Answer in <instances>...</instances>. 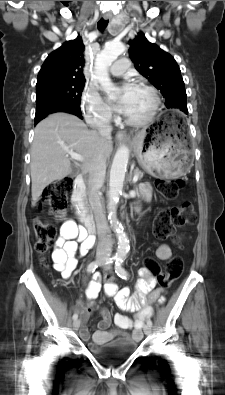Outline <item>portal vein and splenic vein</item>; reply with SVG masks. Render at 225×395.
<instances>
[{"label":"portal vein and splenic vein","mask_w":225,"mask_h":395,"mask_svg":"<svg viewBox=\"0 0 225 395\" xmlns=\"http://www.w3.org/2000/svg\"><path fill=\"white\" fill-rule=\"evenodd\" d=\"M67 152H68V154L70 155V157L72 159L78 160V161H82L83 160V158H82V156L80 154H77V153H75L73 151H67ZM137 180H138V175H134L133 181L136 182Z\"/></svg>","instance_id":"1"}]
</instances>
